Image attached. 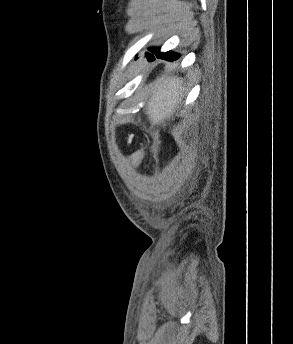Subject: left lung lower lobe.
Here are the masks:
<instances>
[{"mask_svg":"<svg viewBox=\"0 0 293 344\" xmlns=\"http://www.w3.org/2000/svg\"><path fill=\"white\" fill-rule=\"evenodd\" d=\"M152 53H154L158 58L166 59L168 61H173L179 58V54L172 53L171 51H168L166 53H160L159 49L157 48H151L149 49ZM146 56L149 60H153L154 56L152 54L146 53Z\"/></svg>","mask_w":293,"mask_h":344,"instance_id":"0a47b994","label":"left lung lower lobe"}]
</instances>
